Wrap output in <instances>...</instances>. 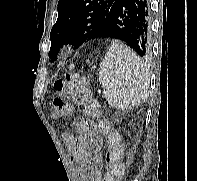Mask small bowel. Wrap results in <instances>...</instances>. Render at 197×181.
I'll return each instance as SVG.
<instances>
[{"instance_id": "small-bowel-1", "label": "small bowel", "mask_w": 197, "mask_h": 181, "mask_svg": "<svg viewBox=\"0 0 197 181\" xmlns=\"http://www.w3.org/2000/svg\"><path fill=\"white\" fill-rule=\"evenodd\" d=\"M77 135L71 132L63 134L64 142L73 160L77 162L78 181H101L100 152L103 141L97 133V126L90 121L76 124Z\"/></svg>"}]
</instances>
